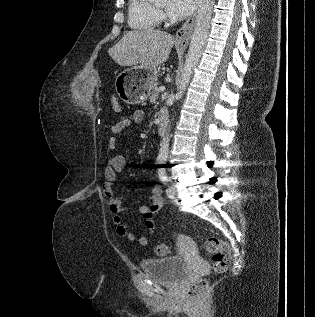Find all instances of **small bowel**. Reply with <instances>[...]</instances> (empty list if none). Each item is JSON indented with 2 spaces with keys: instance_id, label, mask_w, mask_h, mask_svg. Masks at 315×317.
Listing matches in <instances>:
<instances>
[{
  "instance_id": "c3829d8e",
  "label": "small bowel",
  "mask_w": 315,
  "mask_h": 317,
  "mask_svg": "<svg viewBox=\"0 0 315 317\" xmlns=\"http://www.w3.org/2000/svg\"><path fill=\"white\" fill-rule=\"evenodd\" d=\"M143 119L144 113L141 110H137L128 116H121L118 121L112 125V136L109 138V148L114 149L123 132L134 124H140ZM125 165L126 159L122 154H115L108 158L104 168L105 181L102 185V191L108 200L117 235L129 241H135V234L129 229L128 224L125 223L122 218V214L129 209V206L124 203L123 196H116L114 193L117 173L122 171ZM163 206L162 189L159 185H154L151 189L150 205H141L138 208V212L143 216L145 226L150 233H154L156 229L153 217ZM139 243L142 246H146L148 244L147 236L142 235L139 238Z\"/></svg>"
}]
</instances>
